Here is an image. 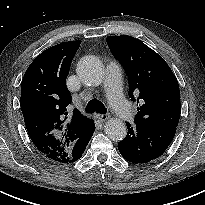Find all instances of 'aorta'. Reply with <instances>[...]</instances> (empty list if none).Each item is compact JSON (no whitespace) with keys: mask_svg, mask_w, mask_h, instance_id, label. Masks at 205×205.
<instances>
[{"mask_svg":"<svg viewBox=\"0 0 205 205\" xmlns=\"http://www.w3.org/2000/svg\"><path fill=\"white\" fill-rule=\"evenodd\" d=\"M77 75L86 85L99 86L104 77L103 66L96 57L85 56L77 64ZM104 128L106 135L113 141H120L126 137V125L120 119H109Z\"/></svg>","mask_w":205,"mask_h":205,"instance_id":"1","label":"aorta"}]
</instances>
